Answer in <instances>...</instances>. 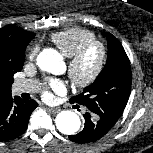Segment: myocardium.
<instances>
[{
	"label": "myocardium",
	"instance_id": "obj_1",
	"mask_svg": "<svg viewBox=\"0 0 153 153\" xmlns=\"http://www.w3.org/2000/svg\"><path fill=\"white\" fill-rule=\"evenodd\" d=\"M98 48L99 59L93 71L87 76L79 74V66L87 52L92 48ZM108 58L107 46L104 42L98 39H92L83 43L69 58H68V76L74 86L78 88H87L94 84L102 74Z\"/></svg>",
	"mask_w": 153,
	"mask_h": 153
}]
</instances>
